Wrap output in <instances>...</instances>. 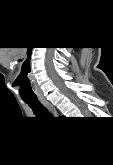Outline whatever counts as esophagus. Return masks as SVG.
Wrapping results in <instances>:
<instances>
[{
  "mask_svg": "<svg viewBox=\"0 0 113 165\" xmlns=\"http://www.w3.org/2000/svg\"><path fill=\"white\" fill-rule=\"evenodd\" d=\"M41 102L48 108V110L53 114V115H57V111L56 109L53 107V105L48 102L47 100L45 99H42Z\"/></svg>",
  "mask_w": 113,
  "mask_h": 165,
  "instance_id": "obj_1",
  "label": "esophagus"
}]
</instances>
